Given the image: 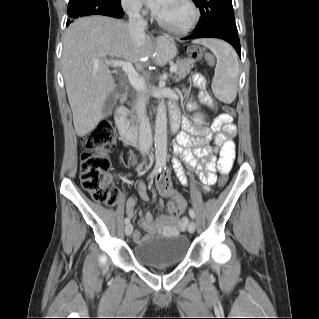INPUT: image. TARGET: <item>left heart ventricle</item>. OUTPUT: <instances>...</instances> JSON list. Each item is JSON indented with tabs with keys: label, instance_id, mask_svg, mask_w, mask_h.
I'll use <instances>...</instances> for the list:
<instances>
[{
	"label": "left heart ventricle",
	"instance_id": "obj_1",
	"mask_svg": "<svg viewBox=\"0 0 319 319\" xmlns=\"http://www.w3.org/2000/svg\"><path fill=\"white\" fill-rule=\"evenodd\" d=\"M158 16L166 22L180 25L190 18L191 12L183 0H168Z\"/></svg>",
	"mask_w": 319,
	"mask_h": 319
}]
</instances>
